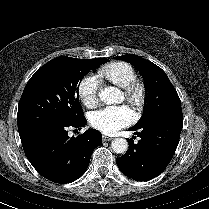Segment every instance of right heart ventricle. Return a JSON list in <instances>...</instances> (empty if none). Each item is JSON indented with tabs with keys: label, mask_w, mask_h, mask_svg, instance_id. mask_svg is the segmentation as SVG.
I'll return each instance as SVG.
<instances>
[{
	"label": "right heart ventricle",
	"mask_w": 209,
	"mask_h": 209,
	"mask_svg": "<svg viewBox=\"0 0 209 209\" xmlns=\"http://www.w3.org/2000/svg\"><path fill=\"white\" fill-rule=\"evenodd\" d=\"M101 75L120 88L127 89L136 81L134 68L124 62L113 63L101 70Z\"/></svg>",
	"instance_id": "obj_1"
}]
</instances>
